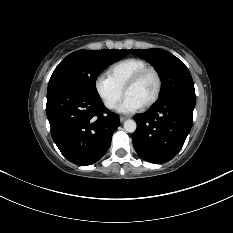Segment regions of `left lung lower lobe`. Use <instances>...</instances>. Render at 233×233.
<instances>
[{
	"label": "left lung lower lobe",
	"instance_id": "0a47b994",
	"mask_svg": "<svg viewBox=\"0 0 233 233\" xmlns=\"http://www.w3.org/2000/svg\"><path fill=\"white\" fill-rule=\"evenodd\" d=\"M194 107L195 97L179 94L135 115L138 127L132 140L138 155L155 164L175 157L192 127Z\"/></svg>",
	"mask_w": 233,
	"mask_h": 233
}]
</instances>
